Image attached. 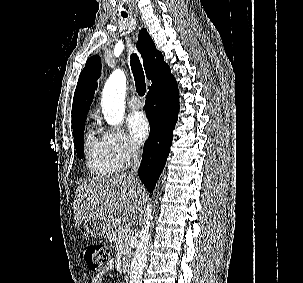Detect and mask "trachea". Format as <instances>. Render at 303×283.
<instances>
[{
    "instance_id": "obj_1",
    "label": "trachea",
    "mask_w": 303,
    "mask_h": 283,
    "mask_svg": "<svg viewBox=\"0 0 303 283\" xmlns=\"http://www.w3.org/2000/svg\"><path fill=\"white\" fill-rule=\"evenodd\" d=\"M122 16L123 18L127 17L126 15ZM130 65L135 80L136 91L140 96H144L146 92L145 76L140 60L134 53L130 56Z\"/></svg>"
}]
</instances>
